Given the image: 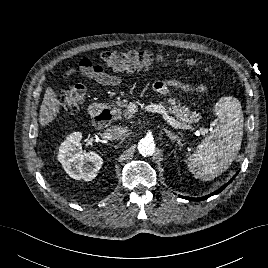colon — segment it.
<instances>
[{
    "mask_svg": "<svg viewBox=\"0 0 268 268\" xmlns=\"http://www.w3.org/2000/svg\"><path fill=\"white\" fill-rule=\"evenodd\" d=\"M164 57L161 54H153L148 51H120L112 50L102 54L103 65L110 70H136L150 67L155 62H161ZM185 65L192 69L196 67L197 61L194 58H185ZM86 63H81L85 68ZM86 97V87L75 85L68 89L58 91L57 101L69 113L77 112L84 103Z\"/></svg>",
    "mask_w": 268,
    "mask_h": 268,
    "instance_id": "1",
    "label": "colon"
}]
</instances>
